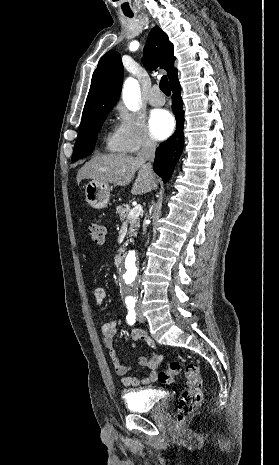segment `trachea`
I'll use <instances>...</instances> for the list:
<instances>
[{"mask_svg": "<svg viewBox=\"0 0 279 465\" xmlns=\"http://www.w3.org/2000/svg\"><path fill=\"white\" fill-rule=\"evenodd\" d=\"M128 17H132V15H127ZM160 89L166 94V95H170L171 94V91H170V86H169V82H168V79L166 76H163L160 80Z\"/></svg>", "mask_w": 279, "mask_h": 465, "instance_id": "trachea-1", "label": "trachea"}]
</instances>
